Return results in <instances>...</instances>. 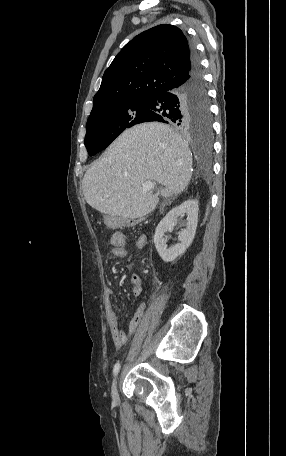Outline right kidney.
Listing matches in <instances>:
<instances>
[{
	"instance_id": "1",
	"label": "right kidney",
	"mask_w": 286,
	"mask_h": 456,
	"mask_svg": "<svg viewBox=\"0 0 286 456\" xmlns=\"http://www.w3.org/2000/svg\"><path fill=\"white\" fill-rule=\"evenodd\" d=\"M198 201L188 199L179 206L170 210L167 215L160 221L155 230L154 244L157 252L164 262H172L178 256L182 255L191 245L198 223ZM187 215L186 229L179 233V243L167 248V239L164 238L168 230H172L177 224L178 217Z\"/></svg>"
}]
</instances>
